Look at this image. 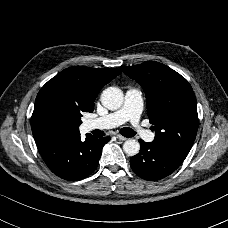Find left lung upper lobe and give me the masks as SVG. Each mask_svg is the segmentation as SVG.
<instances>
[{
	"mask_svg": "<svg viewBox=\"0 0 228 228\" xmlns=\"http://www.w3.org/2000/svg\"><path fill=\"white\" fill-rule=\"evenodd\" d=\"M130 78L144 89L147 114L155 130L158 145L189 152L196 138L198 114L191 85L168 66L146 61L121 67Z\"/></svg>",
	"mask_w": 228,
	"mask_h": 228,
	"instance_id": "1",
	"label": "left lung upper lobe"
}]
</instances>
